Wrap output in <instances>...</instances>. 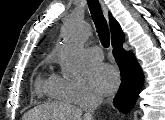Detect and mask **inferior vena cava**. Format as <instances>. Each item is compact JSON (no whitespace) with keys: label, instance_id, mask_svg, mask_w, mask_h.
<instances>
[{"label":"inferior vena cava","instance_id":"inferior-vena-cava-1","mask_svg":"<svg viewBox=\"0 0 165 120\" xmlns=\"http://www.w3.org/2000/svg\"><path fill=\"white\" fill-rule=\"evenodd\" d=\"M102 103V98L95 94H89L81 105V109L85 112L83 120H93V113L96 108Z\"/></svg>","mask_w":165,"mask_h":120}]
</instances>
